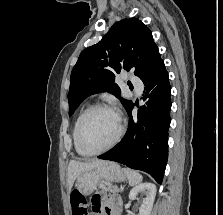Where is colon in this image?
Wrapping results in <instances>:
<instances>
[{"label": "colon", "mask_w": 223, "mask_h": 215, "mask_svg": "<svg viewBox=\"0 0 223 215\" xmlns=\"http://www.w3.org/2000/svg\"><path fill=\"white\" fill-rule=\"evenodd\" d=\"M72 215H87L86 200L82 193L74 190L71 194Z\"/></svg>", "instance_id": "obj_1"}]
</instances>
